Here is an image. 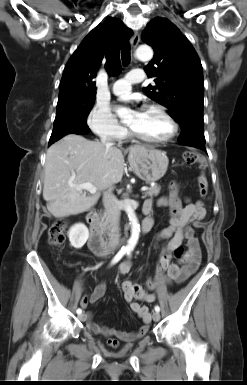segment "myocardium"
<instances>
[{
  "label": "myocardium",
  "instance_id": "f54148a6",
  "mask_svg": "<svg viewBox=\"0 0 247 385\" xmlns=\"http://www.w3.org/2000/svg\"><path fill=\"white\" fill-rule=\"evenodd\" d=\"M143 110H154L159 112L170 124L171 130L170 133L164 137V138H158V139H152V138H147L145 136H142L138 132H136L132 127L129 128L131 135L145 143L149 144H164L168 143L171 140L175 138V136L178 133V124L176 120L172 117V115L162 106L159 104H147L143 107Z\"/></svg>",
  "mask_w": 247,
  "mask_h": 385
}]
</instances>
